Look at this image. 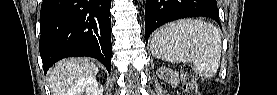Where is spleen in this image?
<instances>
[{"label": "spleen", "instance_id": "spleen-1", "mask_svg": "<svg viewBox=\"0 0 277 95\" xmlns=\"http://www.w3.org/2000/svg\"><path fill=\"white\" fill-rule=\"evenodd\" d=\"M153 56L170 63H192L202 78H211L220 66L222 40L213 24L183 19L164 25L152 37Z\"/></svg>", "mask_w": 277, "mask_h": 95}]
</instances>
